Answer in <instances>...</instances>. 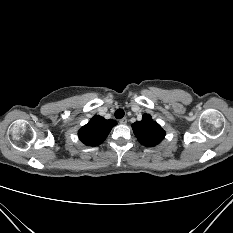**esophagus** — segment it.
I'll use <instances>...</instances> for the list:
<instances>
[{
  "mask_svg": "<svg viewBox=\"0 0 233 233\" xmlns=\"http://www.w3.org/2000/svg\"><path fill=\"white\" fill-rule=\"evenodd\" d=\"M119 123L124 125V124L127 123V119L126 118H122V119L119 120Z\"/></svg>",
  "mask_w": 233,
  "mask_h": 233,
  "instance_id": "esophagus-1",
  "label": "esophagus"
}]
</instances>
